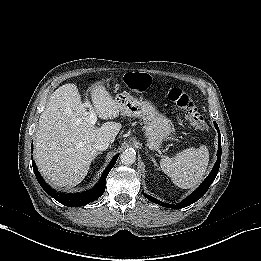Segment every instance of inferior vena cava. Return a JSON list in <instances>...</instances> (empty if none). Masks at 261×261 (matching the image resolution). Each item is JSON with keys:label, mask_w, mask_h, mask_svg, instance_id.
Listing matches in <instances>:
<instances>
[{"label": "inferior vena cava", "mask_w": 261, "mask_h": 261, "mask_svg": "<svg viewBox=\"0 0 261 261\" xmlns=\"http://www.w3.org/2000/svg\"><path fill=\"white\" fill-rule=\"evenodd\" d=\"M110 140L107 138H99L95 142V150L96 151H104L110 146Z\"/></svg>", "instance_id": "602c4592"}]
</instances>
